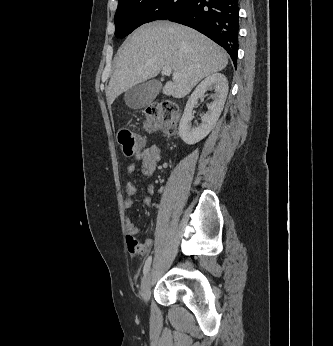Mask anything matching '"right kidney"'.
Returning a JSON list of instances; mask_svg holds the SVG:
<instances>
[{"label": "right kidney", "instance_id": "right-kidney-1", "mask_svg": "<svg viewBox=\"0 0 333 346\" xmlns=\"http://www.w3.org/2000/svg\"><path fill=\"white\" fill-rule=\"evenodd\" d=\"M207 90H214L213 102L208 105V112L201 117L202 123L192 127L193 108L198 103V99L205 96ZM227 94L228 81L221 73L209 75L196 87L187 101L179 124V135L186 144L193 145L209 134L220 117Z\"/></svg>", "mask_w": 333, "mask_h": 346}]
</instances>
